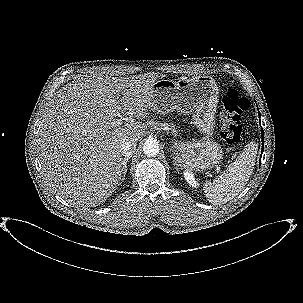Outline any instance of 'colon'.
Here are the masks:
<instances>
[{
	"label": "colon",
	"mask_w": 303,
	"mask_h": 303,
	"mask_svg": "<svg viewBox=\"0 0 303 303\" xmlns=\"http://www.w3.org/2000/svg\"><path fill=\"white\" fill-rule=\"evenodd\" d=\"M249 109V101L235 90H228L222 98L220 135L230 145L240 143L242 126L240 118Z\"/></svg>",
	"instance_id": "5ec220e1"
}]
</instances>
